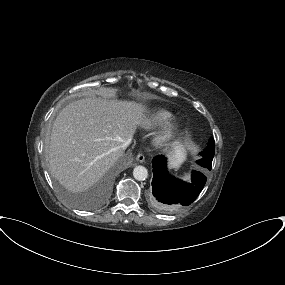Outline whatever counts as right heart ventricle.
Instances as JSON below:
<instances>
[{
	"label": "right heart ventricle",
	"instance_id": "obj_1",
	"mask_svg": "<svg viewBox=\"0 0 285 285\" xmlns=\"http://www.w3.org/2000/svg\"><path fill=\"white\" fill-rule=\"evenodd\" d=\"M173 116L170 112L159 110L152 113L147 119L146 123L149 127H166L170 125Z\"/></svg>",
	"mask_w": 285,
	"mask_h": 285
}]
</instances>
